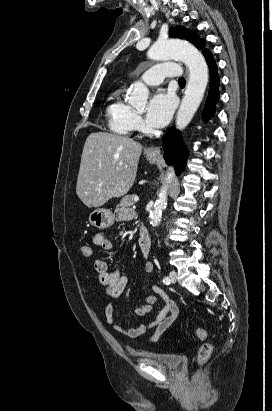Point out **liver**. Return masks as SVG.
<instances>
[{
    "label": "liver",
    "mask_w": 272,
    "mask_h": 411,
    "mask_svg": "<svg viewBox=\"0 0 272 411\" xmlns=\"http://www.w3.org/2000/svg\"><path fill=\"white\" fill-rule=\"evenodd\" d=\"M142 145L107 132L90 134L84 144L76 193L87 207H100L133 186Z\"/></svg>",
    "instance_id": "liver-1"
}]
</instances>
